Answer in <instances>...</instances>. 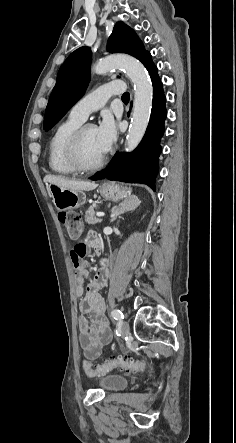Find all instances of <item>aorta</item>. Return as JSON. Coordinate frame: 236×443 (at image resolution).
I'll use <instances>...</instances> for the list:
<instances>
[{
    "mask_svg": "<svg viewBox=\"0 0 236 443\" xmlns=\"http://www.w3.org/2000/svg\"><path fill=\"white\" fill-rule=\"evenodd\" d=\"M115 68H123L134 83V107L125 143L126 151L130 152L136 148L145 134L151 114L153 88L142 63L128 55L108 56L97 63L92 71L104 74Z\"/></svg>",
    "mask_w": 236,
    "mask_h": 443,
    "instance_id": "762f6f07",
    "label": "aorta"
}]
</instances>
